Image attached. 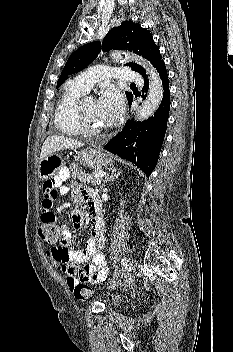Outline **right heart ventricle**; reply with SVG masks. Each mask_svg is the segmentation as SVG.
I'll return each instance as SVG.
<instances>
[{"label":"right heart ventricle","mask_w":233,"mask_h":352,"mask_svg":"<svg viewBox=\"0 0 233 352\" xmlns=\"http://www.w3.org/2000/svg\"><path fill=\"white\" fill-rule=\"evenodd\" d=\"M86 92L74 81H69L57 103L54 122L57 129L67 136H78L81 134L77 123V106L79 99Z\"/></svg>","instance_id":"obj_1"}]
</instances>
